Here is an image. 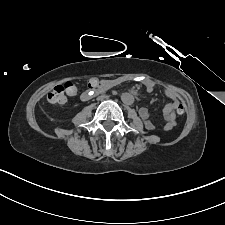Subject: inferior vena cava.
Here are the masks:
<instances>
[{
  "instance_id": "1",
  "label": "inferior vena cava",
  "mask_w": 225,
  "mask_h": 225,
  "mask_svg": "<svg viewBox=\"0 0 225 225\" xmlns=\"http://www.w3.org/2000/svg\"><path fill=\"white\" fill-rule=\"evenodd\" d=\"M105 98H108V96L103 95L100 97V99H105Z\"/></svg>"
}]
</instances>
